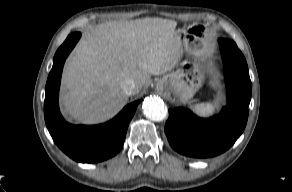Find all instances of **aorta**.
Here are the masks:
<instances>
[{"mask_svg": "<svg viewBox=\"0 0 292 192\" xmlns=\"http://www.w3.org/2000/svg\"><path fill=\"white\" fill-rule=\"evenodd\" d=\"M142 109L144 113L154 121H162L167 116V109L164 102L155 96L145 98Z\"/></svg>", "mask_w": 292, "mask_h": 192, "instance_id": "obj_1", "label": "aorta"}]
</instances>
